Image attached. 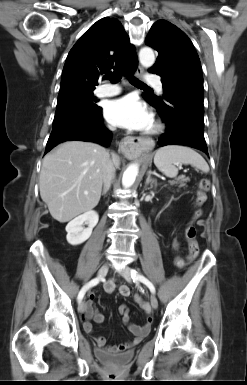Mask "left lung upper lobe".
<instances>
[{
  "label": "left lung upper lobe",
  "instance_id": "left-lung-upper-lobe-1",
  "mask_svg": "<svg viewBox=\"0 0 247 385\" xmlns=\"http://www.w3.org/2000/svg\"><path fill=\"white\" fill-rule=\"evenodd\" d=\"M146 44L158 51L159 56L151 72L161 76L164 99L170 93H179L203 103L204 88L198 54L187 35L166 20L154 23ZM153 106H162L165 100L143 94Z\"/></svg>",
  "mask_w": 247,
  "mask_h": 385
}]
</instances>
